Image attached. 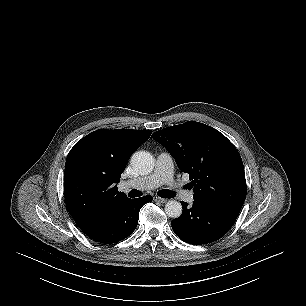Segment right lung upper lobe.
<instances>
[{"label":"right lung upper lobe","mask_w":306,"mask_h":306,"mask_svg":"<svg viewBox=\"0 0 306 306\" xmlns=\"http://www.w3.org/2000/svg\"><path fill=\"white\" fill-rule=\"evenodd\" d=\"M152 131L99 129L70 150L65 164L66 207L75 223L86 231L121 206L128 198L119 192L127 161Z\"/></svg>","instance_id":"right-lung-upper-lobe-1"}]
</instances>
